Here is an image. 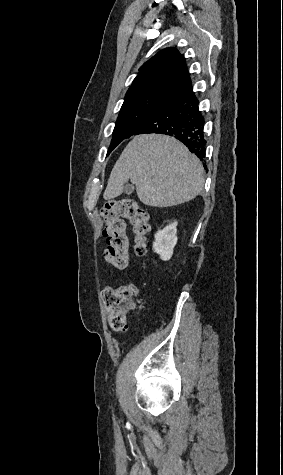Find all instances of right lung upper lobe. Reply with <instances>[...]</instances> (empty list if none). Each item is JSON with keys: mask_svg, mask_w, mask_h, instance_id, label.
<instances>
[{"mask_svg": "<svg viewBox=\"0 0 283 475\" xmlns=\"http://www.w3.org/2000/svg\"><path fill=\"white\" fill-rule=\"evenodd\" d=\"M190 82L183 56L176 48H166L143 64L125 99L165 88L177 90Z\"/></svg>", "mask_w": 283, "mask_h": 475, "instance_id": "obj_1", "label": "right lung upper lobe"}]
</instances>
